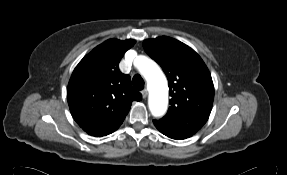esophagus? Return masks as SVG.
<instances>
[{
  "label": "esophagus",
  "mask_w": 287,
  "mask_h": 175,
  "mask_svg": "<svg viewBox=\"0 0 287 175\" xmlns=\"http://www.w3.org/2000/svg\"><path fill=\"white\" fill-rule=\"evenodd\" d=\"M147 90L142 91V98L145 100L147 98Z\"/></svg>",
  "instance_id": "34e87169"
}]
</instances>
